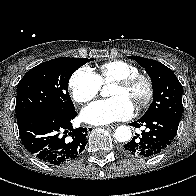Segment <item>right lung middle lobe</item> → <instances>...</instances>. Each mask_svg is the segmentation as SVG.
<instances>
[{
	"label": "right lung middle lobe",
	"mask_w": 196,
	"mask_h": 196,
	"mask_svg": "<svg viewBox=\"0 0 196 196\" xmlns=\"http://www.w3.org/2000/svg\"><path fill=\"white\" fill-rule=\"evenodd\" d=\"M92 60L61 57L30 69L17 85V120L37 110L74 111L68 93L69 79L76 69Z\"/></svg>",
	"instance_id": "obj_1"
}]
</instances>
